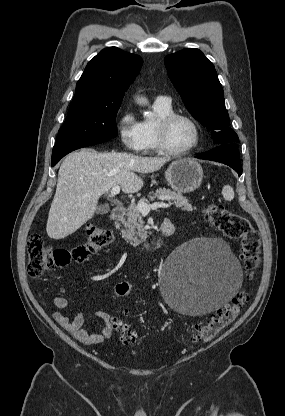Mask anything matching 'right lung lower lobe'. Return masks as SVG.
Here are the masks:
<instances>
[{
  "label": "right lung lower lobe",
  "instance_id": "98d812e1",
  "mask_svg": "<svg viewBox=\"0 0 285 416\" xmlns=\"http://www.w3.org/2000/svg\"><path fill=\"white\" fill-rule=\"evenodd\" d=\"M110 139H71V140H62L57 141L53 147L52 151V161L51 166H55L59 160L79 148L99 144Z\"/></svg>",
  "mask_w": 285,
  "mask_h": 416
}]
</instances>
